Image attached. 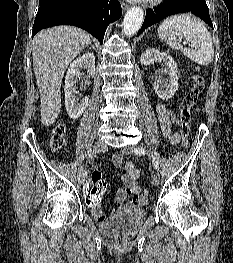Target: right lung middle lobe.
<instances>
[{"mask_svg":"<svg viewBox=\"0 0 233 263\" xmlns=\"http://www.w3.org/2000/svg\"><path fill=\"white\" fill-rule=\"evenodd\" d=\"M50 1H52V0H40V1H39V6L41 7V6L47 4V3L50 2Z\"/></svg>","mask_w":233,"mask_h":263,"instance_id":"obj_1","label":"right lung middle lobe"}]
</instances>
